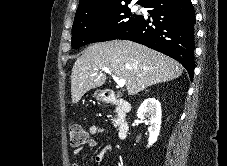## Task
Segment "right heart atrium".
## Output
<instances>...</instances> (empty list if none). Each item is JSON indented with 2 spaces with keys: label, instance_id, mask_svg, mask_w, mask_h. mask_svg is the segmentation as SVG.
I'll list each match as a JSON object with an SVG mask.
<instances>
[{
  "label": "right heart atrium",
  "instance_id": "right-heart-atrium-1",
  "mask_svg": "<svg viewBox=\"0 0 227 166\" xmlns=\"http://www.w3.org/2000/svg\"><path fill=\"white\" fill-rule=\"evenodd\" d=\"M103 26H104V27H108V26H109V22H108L107 20H105V21L103 22Z\"/></svg>",
  "mask_w": 227,
  "mask_h": 166
}]
</instances>
